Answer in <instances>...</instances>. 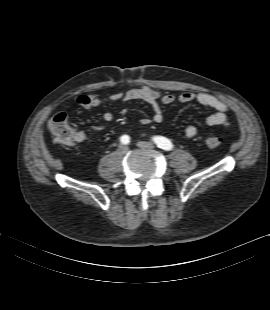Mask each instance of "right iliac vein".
<instances>
[{
	"mask_svg": "<svg viewBox=\"0 0 270 310\" xmlns=\"http://www.w3.org/2000/svg\"><path fill=\"white\" fill-rule=\"evenodd\" d=\"M120 152H121L122 154H126V153L128 152V147H127V146H121V147H120Z\"/></svg>",
	"mask_w": 270,
	"mask_h": 310,
	"instance_id": "1",
	"label": "right iliac vein"
}]
</instances>
